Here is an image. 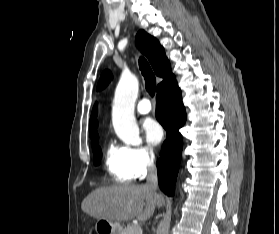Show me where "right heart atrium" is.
<instances>
[{
  "instance_id": "d8ad5b80",
  "label": "right heart atrium",
  "mask_w": 279,
  "mask_h": 234,
  "mask_svg": "<svg viewBox=\"0 0 279 234\" xmlns=\"http://www.w3.org/2000/svg\"><path fill=\"white\" fill-rule=\"evenodd\" d=\"M130 161L137 177L145 175L154 165L156 153L151 145H137L128 148Z\"/></svg>"
}]
</instances>
